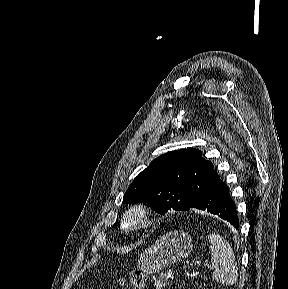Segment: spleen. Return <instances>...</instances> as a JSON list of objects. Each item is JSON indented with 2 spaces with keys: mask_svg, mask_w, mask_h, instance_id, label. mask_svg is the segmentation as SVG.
Returning a JSON list of instances; mask_svg holds the SVG:
<instances>
[{
  "mask_svg": "<svg viewBox=\"0 0 288 289\" xmlns=\"http://www.w3.org/2000/svg\"><path fill=\"white\" fill-rule=\"evenodd\" d=\"M210 252L213 265V278L224 285L237 282V264L230 243L219 234H210Z\"/></svg>",
  "mask_w": 288,
  "mask_h": 289,
  "instance_id": "1",
  "label": "spleen"
}]
</instances>
